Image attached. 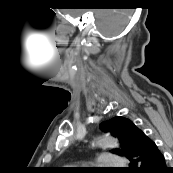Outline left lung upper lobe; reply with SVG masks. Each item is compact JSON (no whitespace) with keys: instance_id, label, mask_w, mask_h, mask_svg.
Instances as JSON below:
<instances>
[{"instance_id":"1","label":"left lung upper lobe","mask_w":173,"mask_h":173,"mask_svg":"<svg viewBox=\"0 0 173 173\" xmlns=\"http://www.w3.org/2000/svg\"><path fill=\"white\" fill-rule=\"evenodd\" d=\"M100 128L120 140L122 149H115L114 153L125 157L133 152L138 142V133L141 131L130 119L120 116L101 123Z\"/></svg>"}]
</instances>
